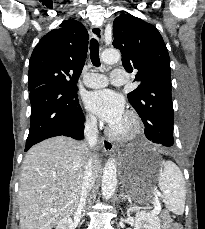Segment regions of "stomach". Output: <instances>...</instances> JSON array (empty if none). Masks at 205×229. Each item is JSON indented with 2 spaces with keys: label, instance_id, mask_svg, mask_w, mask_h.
I'll return each mask as SVG.
<instances>
[{
  "label": "stomach",
  "instance_id": "stomach-1",
  "mask_svg": "<svg viewBox=\"0 0 205 229\" xmlns=\"http://www.w3.org/2000/svg\"><path fill=\"white\" fill-rule=\"evenodd\" d=\"M121 171L130 192L150 197V186L162 166L161 157L151 150H138L122 157Z\"/></svg>",
  "mask_w": 205,
  "mask_h": 229
}]
</instances>
